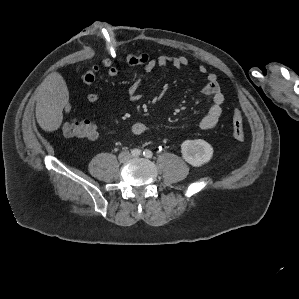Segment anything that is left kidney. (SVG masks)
Here are the masks:
<instances>
[{"label": "left kidney", "instance_id": "1", "mask_svg": "<svg viewBox=\"0 0 299 299\" xmlns=\"http://www.w3.org/2000/svg\"><path fill=\"white\" fill-rule=\"evenodd\" d=\"M181 153L187 163L199 167L210 161L213 156V148L202 139L185 140L181 144Z\"/></svg>", "mask_w": 299, "mask_h": 299}]
</instances>
